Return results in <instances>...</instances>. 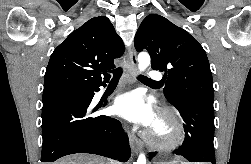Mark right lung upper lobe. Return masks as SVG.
Instances as JSON below:
<instances>
[{"label":"right lung upper lobe","mask_w":251,"mask_h":164,"mask_svg":"<svg viewBox=\"0 0 251 164\" xmlns=\"http://www.w3.org/2000/svg\"><path fill=\"white\" fill-rule=\"evenodd\" d=\"M122 39L105 16L90 19L73 31L52 53L44 92L60 88L90 89L106 83L107 70L124 52Z\"/></svg>","instance_id":"obj_1"}]
</instances>
